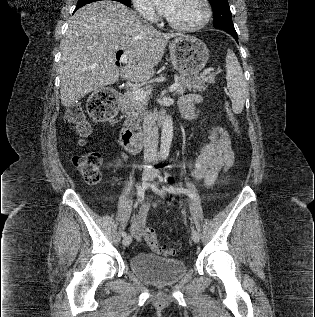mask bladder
<instances>
[{"label":"bladder","instance_id":"1","mask_svg":"<svg viewBox=\"0 0 315 317\" xmlns=\"http://www.w3.org/2000/svg\"><path fill=\"white\" fill-rule=\"evenodd\" d=\"M129 266L142 280L156 286L175 283L187 271L182 260L143 252L134 254L129 259Z\"/></svg>","mask_w":315,"mask_h":317}]
</instances>
